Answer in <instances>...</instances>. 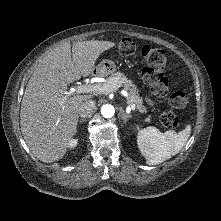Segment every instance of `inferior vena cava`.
<instances>
[{
    "label": "inferior vena cava",
    "instance_id": "1",
    "mask_svg": "<svg viewBox=\"0 0 221 221\" xmlns=\"http://www.w3.org/2000/svg\"><path fill=\"white\" fill-rule=\"evenodd\" d=\"M96 110V103L93 100L83 102L79 109V115L83 118L91 116Z\"/></svg>",
    "mask_w": 221,
    "mask_h": 221
}]
</instances>
